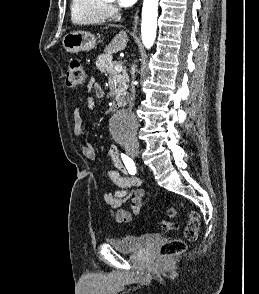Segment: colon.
Instances as JSON below:
<instances>
[{
	"label": "colon",
	"mask_w": 259,
	"mask_h": 294,
	"mask_svg": "<svg viewBox=\"0 0 259 294\" xmlns=\"http://www.w3.org/2000/svg\"><path fill=\"white\" fill-rule=\"evenodd\" d=\"M87 79L88 76L83 62L79 59L71 60L65 75L66 86L69 88L82 87L87 83ZM177 214L178 210L175 207H170L168 209V215L170 217L174 218ZM199 226L198 215L195 212H190L184 230L185 239H172L165 242L158 250L159 255L161 257H169L183 253L186 249V240L192 241L196 239ZM160 227L163 230H173L177 228V224L172 221L164 220L160 223Z\"/></svg>",
	"instance_id": "colon-1"
}]
</instances>
